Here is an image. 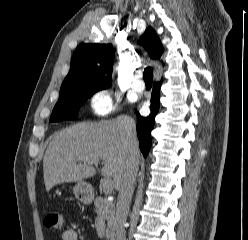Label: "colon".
Here are the masks:
<instances>
[{
    "mask_svg": "<svg viewBox=\"0 0 248 240\" xmlns=\"http://www.w3.org/2000/svg\"><path fill=\"white\" fill-rule=\"evenodd\" d=\"M44 225L47 228L59 230L63 226V218L59 212L52 211L45 215L44 217Z\"/></svg>",
    "mask_w": 248,
    "mask_h": 240,
    "instance_id": "colon-1",
    "label": "colon"
}]
</instances>
